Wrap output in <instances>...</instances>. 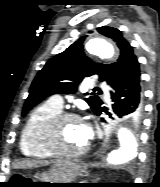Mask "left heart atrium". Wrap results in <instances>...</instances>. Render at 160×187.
<instances>
[{
    "label": "left heart atrium",
    "instance_id": "1",
    "mask_svg": "<svg viewBox=\"0 0 160 187\" xmlns=\"http://www.w3.org/2000/svg\"><path fill=\"white\" fill-rule=\"evenodd\" d=\"M82 127H83V132H84L86 138L89 139L92 135V131H91L90 126L88 124L83 123Z\"/></svg>",
    "mask_w": 160,
    "mask_h": 187
}]
</instances>
